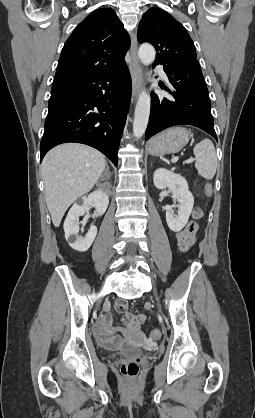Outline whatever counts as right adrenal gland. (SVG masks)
I'll use <instances>...</instances> for the list:
<instances>
[{"mask_svg": "<svg viewBox=\"0 0 255 418\" xmlns=\"http://www.w3.org/2000/svg\"><path fill=\"white\" fill-rule=\"evenodd\" d=\"M104 175H106V179H108V178H110V175H111V173H110V171H109V166L108 165H106V169H105V171H104V174L102 175V178H101V180H104Z\"/></svg>", "mask_w": 255, "mask_h": 418, "instance_id": "1", "label": "right adrenal gland"}]
</instances>
